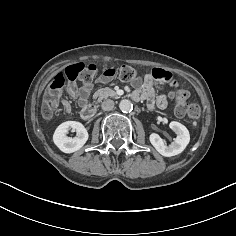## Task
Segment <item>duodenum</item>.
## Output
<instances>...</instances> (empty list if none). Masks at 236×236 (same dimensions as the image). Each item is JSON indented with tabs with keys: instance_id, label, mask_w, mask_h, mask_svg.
<instances>
[{
	"instance_id": "obj_1",
	"label": "duodenum",
	"mask_w": 236,
	"mask_h": 236,
	"mask_svg": "<svg viewBox=\"0 0 236 236\" xmlns=\"http://www.w3.org/2000/svg\"><path fill=\"white\" fill-rule=\"evenodd\" d=\"M80 115L82 119L90 120L96 115V108L91 104H87L81 109Z\"/></svg>"
}]
</instances>
